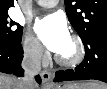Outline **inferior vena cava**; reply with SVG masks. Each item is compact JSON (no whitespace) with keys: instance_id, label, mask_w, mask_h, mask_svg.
Here are the masks:
<instances>
[{"instance_id":"602c4592","label":"inferior vena cava","mask_w":107,"mask_h":89,"mask_svg":"<svg viewBox=\"0 0 107 89\" xmlns=\"http://www.w3.org/2000/svg\"><path fill=\"white\" fill-rule=\"evenodd\" d=\"M41 57L42 47L39 43H36L23 58L21 66L24 69V77L21 80L24 89H32L35 85L34 77L41 70Z\"/></svg>"}]
</instances>
